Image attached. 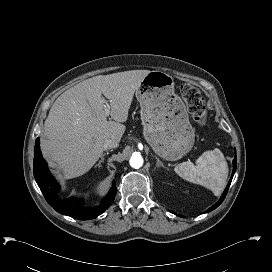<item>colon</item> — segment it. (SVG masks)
<instances>
[{
  "mask_svg": "<svg viewBox=\"0 0 272 272\" xmlns=\"http://www.w3.org/2000/svg\"><path fill=\"white\" fill-rule=\"evenodd\" d=\"M180 96L187 105L193 119L199 124H205L206 109L200 92L192 85L183 84L180 87Z\"/></svg>",
  "mask_w": 272,
  "mask_h": 272,
  "instance_id": "colon-1",
  "label": "colon"
}]
</instances>
